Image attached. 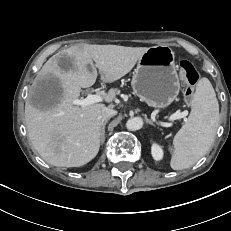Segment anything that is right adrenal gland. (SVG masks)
Wrapping results in <instances>:
<instances>
[{
    "instance_id": "1",
    "label": "right adrenal gland",
    "mask_w": 231,
    "mask_h": 231,
    "mask_svg": "<svg viewBox=\"0 0 231 231\" xmlns=\"http://www.w3.org/2000/svg\"><path fill=\"white\" fill-rule=\"evenodd\" d=\"M107 122H108V120H105L102 123V128H101V143H103L104 139H105V126H106Z\"/></svg>"
}]
</instances>
